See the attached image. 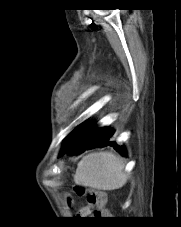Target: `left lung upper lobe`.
Masks as SVG:
<instances>
[{"label":"left lung upper lobe","mask_w":181,"mask_h":227,"mask_svg":"<svg viewBox=\"0 0 181 227\" xmlns=\"http://www.w3.org/2000/svg\"><path fill=\"white\" fill-rule=\"evenodd\" d=\"M85 128V124L82 123L79 126H77L67 137L64 147H66L68 144H70L71 142H73L83 131V129Z\"/></svg>","instance_id":"5c2ea615"}]
</instances>
